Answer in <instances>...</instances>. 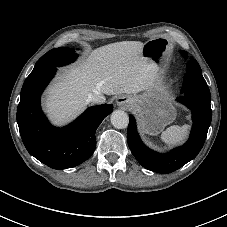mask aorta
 Here are the masks:
<instances>
[{
    "label": "aorta",
    "mask_w": 227,
    "mask_h": 227,
    "mask_svg": "<svg viewBox=\"0 0 227 227\" xmlns=\"http://www.w3.org/2000/svg\"><path fill=\"white\" fill-rule=\"evenodd\" d=\"M111 124L117 129H124L128 126L129 116L122 110H115L111 114Z\"/></svg>",
    "instance_id": "aorta-1"
}]
</instances>
